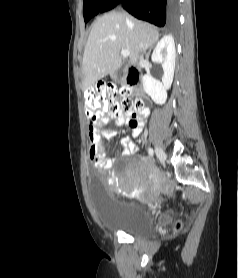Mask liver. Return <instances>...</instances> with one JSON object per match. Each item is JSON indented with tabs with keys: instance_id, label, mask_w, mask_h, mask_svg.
Listing matches in <instances>:
<instances>
[{
	"instance_id": "liver-1",
	"label": "liver",
	"mask_w": 238,
	"mask_h": 278,
	"mask_svg": "<svg viewBox=\"0 0 238 278\" xmlns=\"http://www.w3.org/2000/svg\"><path fill=\"white\" fill-rule=\"evenodd\" d=\"M153 25L125 13L112 11L99 17L92 26L82 61V89L87 91L100 79L116 72L122 63L120 52L128 50L135 65L139 54L159 39Z\"/></svg>"
}]
</instances>
